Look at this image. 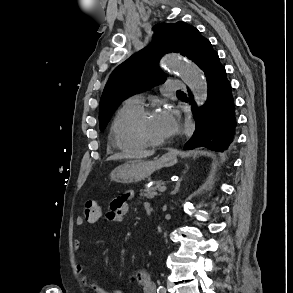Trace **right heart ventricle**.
I'll return each mask as SVG.
<instances>
[{
  "label": "right heart ventricle",
  "instance_id": "e07e8e85",
  "mask_svg": "<svg viewBox=\"0 0 293 293\" xmlns=\"http://www.w3.org/2000/svg\"><path fill=\"white\" fill-rule=\"evenodd\" d=\"M142 107L124 103L117 111L110 127V143L120 151L135 153L146 148L136 135L134 130L135 119L141 112Z\"/></svg>",
  "mask_w": 293,
  "mask_h": 293
}]
</instances>
